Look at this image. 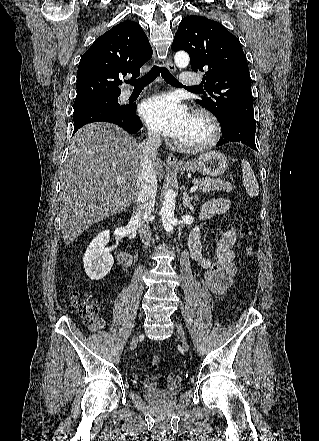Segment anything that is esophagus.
<instances>
[{
	"label": "esophagus",
	"instance_id": "34e87169",
	"mask_svg": "<svg viewBox=\"0 0 319 441\" xmlns=\"http://www.w3.org/2000/svg\"><path fill=\"white\" fill-rule=\"evenodd\" d=\"M165 67L172 72L176 71L175 64L170 59L165 61ZM167 163L169 165H180L181 164V162L177 159V157L173 153H169V155L167 157Z\"/></svg>",
	"mask_w": 319,
	"mask_h": 441
}]
</instances>
